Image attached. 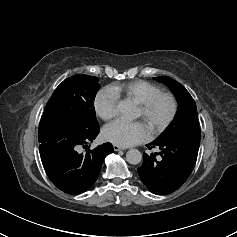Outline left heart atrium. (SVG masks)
I'll use <instances>...</instances> for the list:
<instances>
[{
  "label": "left heart atrium",
  "instance_id": "39dd6f15",
  "mask_svg": "<svg viewBox=\"0 0 237 237\" xmlns=\"http://www.w3.org/2000/svg\"><path fill=\"white\" fill-rule=\"evenodd\" d=\"M102 136L105 141L114 145L129 147L148 140L149 131L140 122L125 123L116 121L103 129Z\"/></svg>",
  "mask_w": 237,
  "mask_h": 237
}]
</instances>
